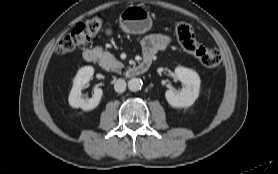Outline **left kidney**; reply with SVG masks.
Instances as JSON below:
<instances>
[{
  "label": "left kidney",
  "mask_w": 278,
  "mask_h": 174,
  "mask_svg": "<svg viewBox=\"0 0 278 174\" xmlns=\"http://www.w3.org/2000/svg\"><path fill=\"white\" fill-rule=\"evenodd\" d=\"M175 75L182 82L184 88L180 92L174 89H169L165 92L167 102L176 108L190 107L199 96L200 77L199 75L188 68L176 67Z\"/></svg>",
  "instance_id": "left-kidney-1"
}]
</instances>
